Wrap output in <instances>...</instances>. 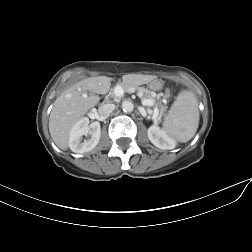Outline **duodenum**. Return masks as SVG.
Returning <instances> with one entry per match:
<instances>
[{
  "label": "duodenum",
  "instance_id": "obj_1",
  "mask_svg": "<svg viewBox=\"0 0 252 252\" xmlns=\"http://www.w3.org/2000/svg\"><path fill=\"white\" fill-rule=\"evenodd\" d=\"M104 100H105V97H101V102H104Z\"/></svg>",
  "mask_w": 252,
  "mask_h": 252
}]
</instances>
